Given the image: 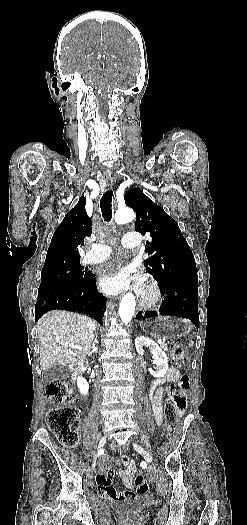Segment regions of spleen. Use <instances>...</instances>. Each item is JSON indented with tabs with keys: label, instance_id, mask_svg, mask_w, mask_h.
Returning <instances> with one entry per match:
<instances>
[{
	"label": "spleen",
	"instance_id": "1",
	"mask_svg": "<svg viewBox=\"0 0 247 525\" xmlns=\"http://www.w3.org/2000/svg\"><path fill=\"white\" fill-rule=\"evenodd\" d=\"M159 319H164V321H166V319H170V317H159ZM184 323H189L188 319H183ZM189 347H193V341H191V343H189Z\"/></svg>",
	"mask_w": 247,
	"mask_h": 525
}]
</instances>
